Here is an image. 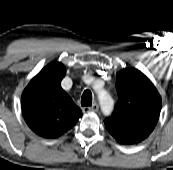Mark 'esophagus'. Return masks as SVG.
Returning <instances> with one entry per match:
<instances>
[{
  "label": "esophagus",
  "mask_w": 173,
  "mask_h": 170,
  "mask_svg": "<svg viewBox=\"0 0 173 170\" xmlns=\"http://www.w3.org/2000/svg\"><path fill=\"white\" fill-rule=\"evenodd\" d=\"M98 109H99L98 104H97V103H94V104H93L92 106H90V107H84V108H82V111H83L84 113H87V112H97Z\"/></svg>",
  "instance_id": "34e87169"
}]
</instances>
